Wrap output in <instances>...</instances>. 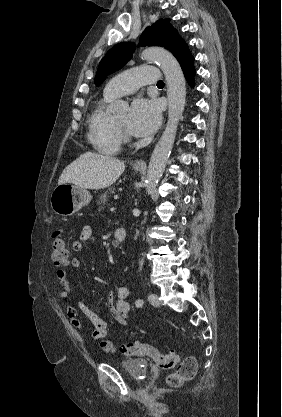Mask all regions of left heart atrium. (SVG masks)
Returning <instances> with one entry per match:
<instances>
[{"label": "left heart atrium", "mask_w": 282, "mask_h": 417, "mask_svg": "<svg viewBox=\"0 0 282 417\" xmlns=\"http://www.w3.org/2000/svg\"><path fill=\"white\" fill-rule=\"evenodd\" d=\"M160 123V110L155 102L138 100L133 103L126 120L127 130L136 136L149 135Z\"/></svg>", "instance_id": "left-heart-atrium-1"}]
</instances>
